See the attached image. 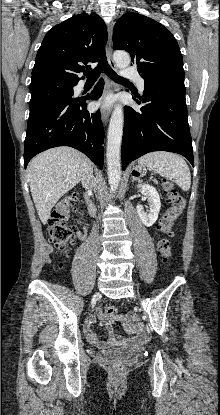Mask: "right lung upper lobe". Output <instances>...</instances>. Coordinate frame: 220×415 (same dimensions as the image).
Returning a JSON list of instances; mask_svg holds the SVG:
<instances>
[{
	"label": "right lung upper lobe",
	"mask_w": 220,
	"mask_h": 415,
	"mask_svg": "<svg viewBox=\"0 0 220 415\" xmlns=\"http://www.w3.org/2000/svg\"><path fill=\"white\" fill-rule=\"evenodd\" d=\"M107 37L104 21L94 13L76 15L54 26L37 52L31 82L59 79L77 84V73L91 69L87 64L99 59Z\"/></svg>",
	"instance_id": "right-lung-upper-lobe-1"
}]
</instances>
